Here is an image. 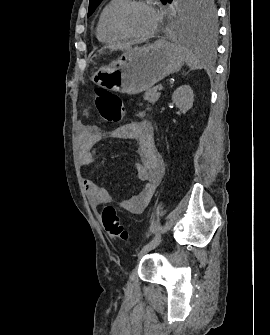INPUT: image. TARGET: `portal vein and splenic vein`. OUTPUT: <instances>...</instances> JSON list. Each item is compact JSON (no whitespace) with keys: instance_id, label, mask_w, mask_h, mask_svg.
Wrapping results in <instances>:
<instances>
[{"instance_id":"18ae733b","label":"portal vein and splenic vein","mask_w":270,"mask_h":335,"mask_svg":"<svg viewBox=\"0 0 270 335\" xmlns=\"http://www.w3.org/2000/svg\"><path fill=\"white\" fill-rule=\"evenodd\" d=\"M165 87L162 85L161 87H158V90H163ZM160 92V91H158Z\"/></svg>"}]
</instances>
